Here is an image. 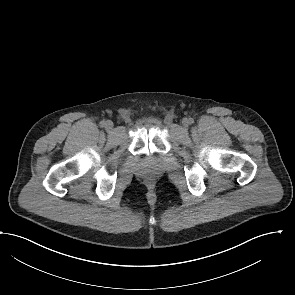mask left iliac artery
Wrapping results in <instances>:
<instances>
[{
  "label": "left iliac artery",
  "instance_id": "44dca946",
  "mask_svg": "<svg viewBox=\"0 0 295 295\" xmlns=\"http://www.w3.org/2000/svg\"><path fill=\"white\" fill-rule=\"evenodd\" d=\"M189 123H190V124L194 123L193 118H189Z\"/></svg>",
  "mask_w": 295,
  "mask_h": 295
}]
</instances>
